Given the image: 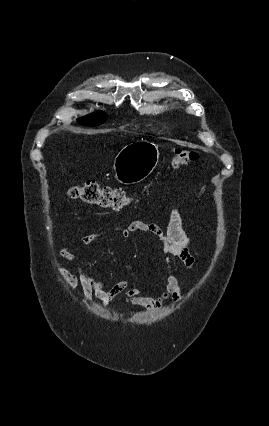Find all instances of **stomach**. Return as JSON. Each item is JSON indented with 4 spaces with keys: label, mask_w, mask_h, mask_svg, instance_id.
<instances>
[{
    "label": "stomach",
    "mask_w": 269,
    "mask_h": 426,
    "mask_svg": "<svg viewBox=\"0 0 269 426\" xmlns=\"http://www.w3.org/2000/svg\"><path fill=\"white\" fill-rule=\"evenodd\" d=\"M155 143L138 140L123 147L114 159L115 178L122 184H135L147 178L159 161Z\"/></svg>",
    "instance_id": "1"
}]
</instances>
